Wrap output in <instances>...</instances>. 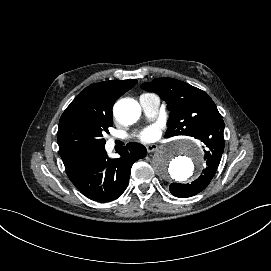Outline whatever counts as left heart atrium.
<instances>
[{"label": "left heart atrium", "instance_id": "1", "mask_svg": "<svg viewBox=\"0 0 271 271\" xmlns=\"http://www.w3.org/2000/svg\"><path fill=\"white\" fill-rule=\"evenodd\" d=\"M159 130V126H151L142 132L139 138L143 142H154L159 138Z\"/></svg>", "mask_w": 271, "mask_h": 271}]
</instances>
